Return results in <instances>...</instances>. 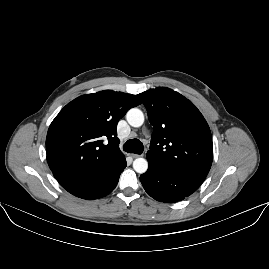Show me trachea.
Segmentation results:
<instances>
[{"mask_svg":"<svg viewBox=\"0 0 269 269\" xmlns=\"http://www.w3.org/2000/svg\"><path fill=\"white\" fill-rule=\"evenodd\" d=\"M124 151L134 154H142L144 151L143 143L137 138L126 141L123 145Z\"/></svg>","mask_w":269,"mask_h":269,"instance_id":"1","label":"trachea"}]
</instances>
